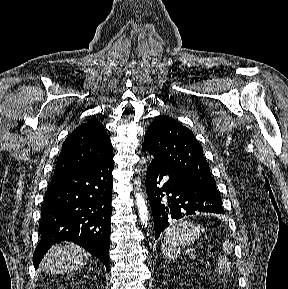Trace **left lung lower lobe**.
<instances>
[{
  "mask_svg": "<svg viewBox=\"0 0 288 289\" xmlns=\"http://www.w3.org/2000/svg\"><path fill=\"white\" fill-rule=\"evenodd\" d=\"M142 148L147 151L144 147ZM164 175H169V179L159 186ZM146 190L153 213L155 239L173 221L186 215L195 212L224 214L218 192L172 174L154 159L146 172ZM163 192L170 195L166 197Z\"/></svg>",
  "mask_w": 288,
  "mask_h": 289,
  "instance_id": "0a47b994",
  "label": "left lung lower lobe"
}]
</instances>
